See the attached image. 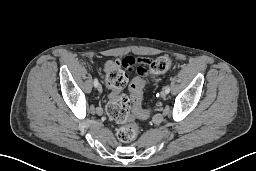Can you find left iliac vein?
<instances>
[{
    "label": "left iliac vein",
    "mask_w": 256,
    "mask_h": 171,
    "mask_svg": "<svg viewBox=\"0 0 256 171\" xmlns=\"http://www.w3.org/2000/svg\"><path fill=\"white\" fill-rule=\"evenodd\" d=\"M167 94H168V93L166 92L165 89L161 91V97H162V98H165Z\"/></svg>",
    "instance_id": "left-iliac-vein-1"
}]
</instances>
